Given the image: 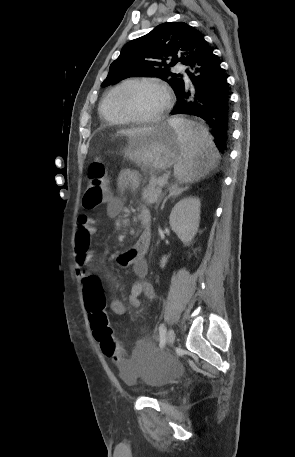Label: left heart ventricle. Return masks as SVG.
<instances>
[{"label":"left heart ventricle","instance_id":"obj_1","mask_svg":"<svg viewBox=\"0 0 295 457\" xmlns=\"http://www.w3.org/2000/svg\"><path fill=\"white\" fill-rule=\"evenodd\" d=\"M165 102V93L156 86H138L131 90L125 98L129 109L140 117L157 115L163 109Z\"/></svg>","mask_w":295,"mask_h":457}]
</instances>
